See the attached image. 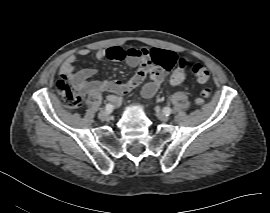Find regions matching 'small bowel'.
Listing matches in <instances>:
<instances>
[{"label": "small bowel", "instance_id": "obj_1", "mask_svg": "<svg viewBox=\"0 0 270 213\" xmlns=\"http://www.w3.org/2000/svg\"><path fill=\"white\" fill-rule=\"evenodd\" d=\"M122 50L119 47H110L107 49H98L95 52V58L99 61L109 59L115 61L112 54L114 50ZM159 51H167L172 53L176 58V54L169 50L157 49ZM89 51L87 49H82L76 54L70 55L63 62L60 72L63 77V83L67 88L71 90L80 98L89 97L100 89H107L117 94H123L135 86L143 82L146 75L150 77V80L146 82L142 87V94L144 97H152L160 87L164 77L165 72L162 67H158L152 64L145 65L147 69V74H142L140 71L130 77L127 81H108L103 84L95 81H88V78L92 75L93 71L91 69H85L81 71L75 70V63L78 57L88 56ZM144 57H127L126 62L131 67H137L143 63ZM68 83L70 86H68ZM107 101L112 102L114 105L119 103V98L116 96H108Z\"/></svg>", "mask_w": 270, "mask_h": 213}]
</instances>
